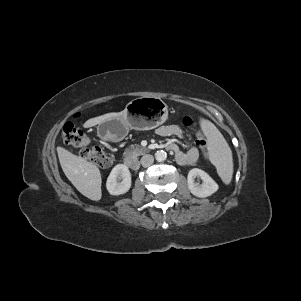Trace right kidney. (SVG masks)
<instances>
[{
	"label": "right kidney",
	"instance_id": "1",
	"mask_svg": "<svg viewBox=\"0 0 301 301\" xmlns=\"http://www.w3.org/2000/svg\"><path fill=\"white\" fill-rule=\"evenodd\" d=\"M118 180H122L118 182ZM106 188L111 195L125 194L131 188V174L124 164L116 165L107 178Z\"/></svg>",
	"mask_w": 301,
	"mask_h": 301
}]
</instances>
